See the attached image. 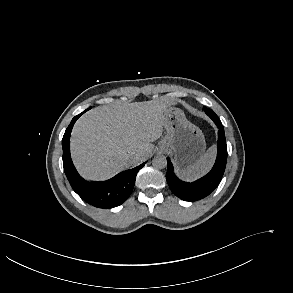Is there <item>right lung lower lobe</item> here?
<instances>
[{"mask_svg": "<svg viewBox=\"0 0 293 293\" xmlns=\"http://www.w3.org/2000/svg\"><path fill=\"white\" fill-rule=\"evenodd\" d=\"M85 110L84 112H86ZM75 116L62 139L63 166L67 179L73 190L87 203L99 208H113L121 205L130 196L137 172L145 163L124 172L115 177L97 183L84 180L75 169L70 156V134L76 120L84 113Z\"/></svg>", "mask_w": 293, "mask_h": 293, "instance_id": "98d812e1", "label": "right lung lower lobe"}]
</instances>
